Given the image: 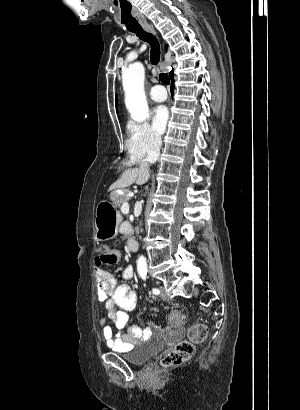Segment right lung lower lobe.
Instances as JSON below:
<instances>
[{
	"mask_svg": "<svg viewBox=\"0 0 300 410\" xmlns=\"http://www.w3.org/2000/svg\"><path fill=\"white\" fill-rule=\"evenodd\" d=\"M171 78V80H172V86H171V93L173 92V84H174V79H173V76L172 77H170ZM173 94V93H172Z\"/></svg>",
	"mask_w": 300,
	"mask_h": 410,
	"instance_id": "1",
	"label": "right lung lower lobe"
}]
</instances>
